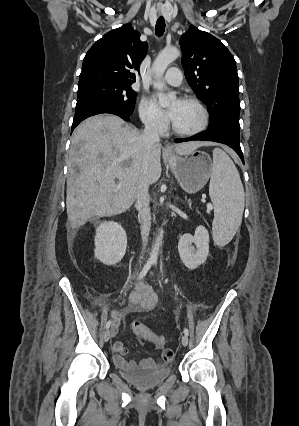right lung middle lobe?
<instances>
[{"label": "right lung middle lobe", "instance_id": "right-lung-middle-lobe-1", "mask_svg": "<svg viewBox=\"0 0 299 426\" xmlns=\"http://www.w3.org/2000/svg\"><path fill=\"white\" fill-rule=\"evenodd\" d=\"M137 93L130 85L118 83H90L78 85L77 100L93 97L113 102L125 110H134Z\"/></svg>", "mask_w": 299, "mask_h": 426}]
</instances>
